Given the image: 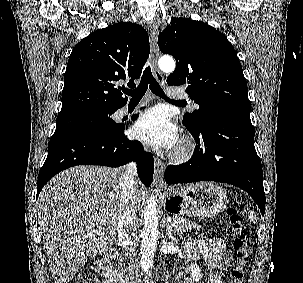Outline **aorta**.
<instances>
[{
  "mask_svg": "<svg viewBox=\"0 0 303 283\" xmlns=\"http://www.w3.org/2000/svg\"><path fill=\"white\" fill-rule=\"evenodd\" d=\"M158 65L165 73H171L175 69V61L170 56L161 57ZM158 233V211L155 196L152 194L145 208L144 226L141 233L140 265L146 274L153 265Z\"/></svg>",
  "mask_w": 303,
  "mask_h": 283,
  "instance_id": "1",
  "label": "aorta"
}]
</instances>
